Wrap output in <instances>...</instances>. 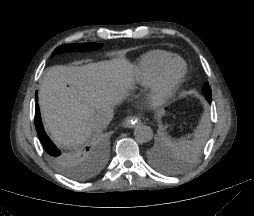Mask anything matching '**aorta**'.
<instances>
[{
	"mask_svg": "<svg viewBox=\"0 0 254 216\" xmlns=\"http://www.w3.org/2000/svg\"><path fill=\"white\" fill-rule=\"evenodd\" d=\"M135 139L140 143L149 142L153 138V131L151 127L139 124L134 129Z\"/></svg>",
	"mask_w": 254,
	"mask_h": 216,
	"instance_id": "obj_1",
	"label": "aorta"
}]
</instances>
